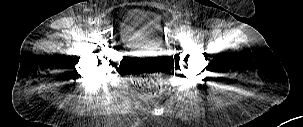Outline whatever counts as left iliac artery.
Returning a JSON list of instances; mask_svg holds the SVG:
<instances>
[{
	"instance_id": "obj_1",
	"label": "left iliac artery",
	"mask_w": 303,
	"mask_h": 127,
	"mask_svg": "<svg viewBox=\"0 0 303 127\" xmlns=\"http://www.w3.org/2000/svg\"><path fill=\"white\" fill-rule=\"evenodd\" d=\"M193 33H197V29L192 30Z\"/></svg>"
}]
</instances>
